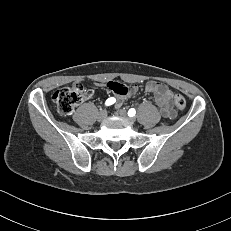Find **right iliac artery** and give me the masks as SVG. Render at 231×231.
<instances>
[{
  "label": "right iliac artery",
  "mask_w": 231,
  "mask_h": 231,
  "mask_svg": "<svg viewBox=\"0 0 231 231\" xmlns=\"http://www.w3.org/2000/svg\"><path fill=\"white\" fill-rule=\"evenodd\" d=\"M115 102H116V99L113 98V97H111V98H109V99L106 100L105 105L109 106V105L114 104Z\"/></svg>",
  "instance_id": "82829eb1"
}]
</instances>
